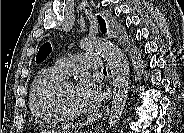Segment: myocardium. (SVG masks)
<instances>
[{"label":"myocardium","instance_id":"obj_1","mask_svg":"<svg viewBox=\"0 0 184 133\" xmlns=\"http://www.w3.org/2000/svg\"><path fill=\"white\" fill-rule=\"evenodd\" d=\"M62 90H63V85H60L56 93V106L60 115L65 121L74 122V121L80 120L81 116L74 115L67 110L63 101Z\"/></svg>","mask_w":184,"mask_h":133}]
</instances>
